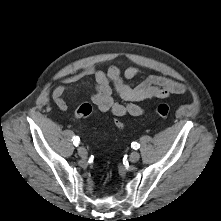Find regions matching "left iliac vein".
Wrapping results in <instances>:
<instances>
[{"instance_id":"left-iliac-vein-1","label":"left iliac vein","mask_w":221,"mask_h":221,"mask_svg":"<svg viewBox=\"0 0 221 221\" xmlns=\"http://www.w3.org/2000/svg\"><path fill=\"white\" fill-rule=\"evenodd\" d=\"M140 159V154L137 151H134L130 154L129 160L132 163H136Z\"/></svg>"}]
</instances>
